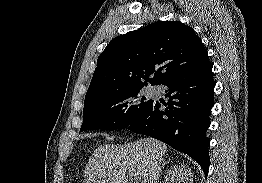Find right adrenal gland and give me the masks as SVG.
Wrapping results in <instances>:
<instances>
[{
  "label": "right adrenal gland",
  "instance_id": "right-adrenal-gland-1",
  "mask_svg": "<svg viewBox=\"0 0 262 183\" xmlns=\"http://www.w3.org/2000/svg\"><path fill=\"white\" fill-rule=\"evenodd\" d=\"M169 163V161H164V162H162V166H164V165H166V164H168Z\"/></svg>",
  "mask_w": 262,
  "mask_h": 183
}]
</instances>
